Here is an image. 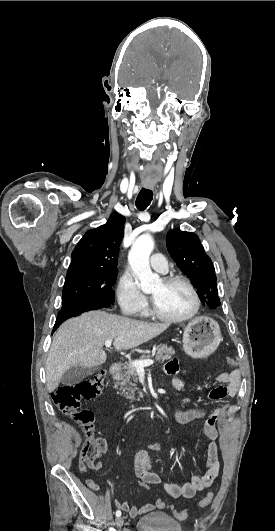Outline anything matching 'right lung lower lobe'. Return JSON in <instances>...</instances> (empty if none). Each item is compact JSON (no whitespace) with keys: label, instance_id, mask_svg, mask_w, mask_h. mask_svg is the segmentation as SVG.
I'll return each instance as SVG.
<instances>
[{"label":"right lung lower lobe","instance_id":"1","mask_svg":"<svg viewBox=\"0 0 275 531\" xmlns=\"http://www.w3.org/2000/svg\"><path fill=\"white\" fill-rule=\"evenodd\" d=\"M104 306L82 301H67L62 303V308L58 313L53 332L68 318L78 316L86 311L103 308Z\"/></svg>","mask_w":275,"mask_h":531}]
</instances>
